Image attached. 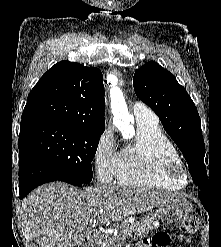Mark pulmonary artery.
I'll return each mask as SVG.
<instances>
[{"instance_id":"pulmonary-artery-1","label":"pulmonary artery","mask_w":221,"mask_h":247,"mask_svg":"<svg viewBox=\"0 0 221 247\" xmlns=\"http://www.w3.org/2000/svg\"><path fill=\"white\" fill-rule=\"evenodd\" d=\"M133 115L136 122H158L156 114L140 102L134 103Z\"/></svg>"}]
</instances>
